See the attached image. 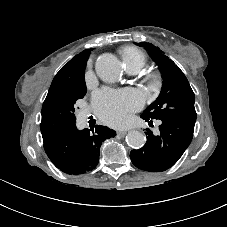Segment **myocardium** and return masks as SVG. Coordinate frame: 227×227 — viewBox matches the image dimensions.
I'll return each instance as SVG.
<instances>
[{
	"mask_svg": "<svg viewBox=\"0 0 227 227\" xmlns=\"http://www.w3.org/2000/svg\"><path fill=\"white\" fill-rule=\"evenodd\" d=\"M148 82L151 85H156L159 82V76L156 73H151L148 75Z\"/></svg>",
	"mask_w": 227,
	"mask_h": 227,
	"instance_id": "1",
	"label": "myocardium"
}]
</instances>
